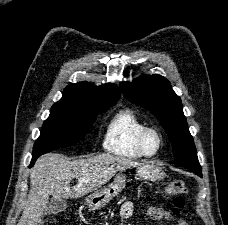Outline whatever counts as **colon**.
Here are the masks:
<instances>
[{
    "label": "colon",
    "mask_w": 228,
    "mask_h": 225,
    "mask_svg": "<svg viewBox=\"0 0 228 225\" xmlns=\"http://www.w3.org/2000/svg\"><path fill=\"white\" fill-rule=\"evenodd\" d=\"M166 193L174 198L173 213L180 214L184 205L183 196L187 193L185 183L182 180H171L166 187Z\"/></svg>",
    "instance_id": "obj_1"
}]
</instances>
